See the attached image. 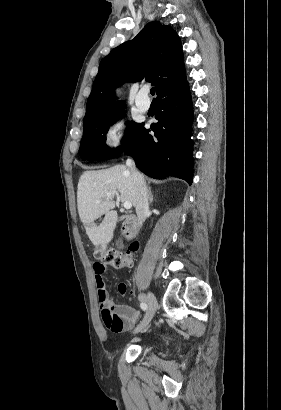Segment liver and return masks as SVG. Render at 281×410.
I'll use <instances>...</instances> for the list:
<instances>
[{
  "label": "liver",
  "mask_w": 281,
  "mask_h": 410,
  "mask_svg": "<svg viewBox=\"0 0 281 410\" xmlns=\"http://www.w3.org/2000/svg\"><path fill=\"white\" fill-rule=\"evenodd\" d=\"M122 202L129 201L136 206V187L127 166L116 165L102 170L85 171L78 182L77 206L86 234L94 246L110 243L114 236L118 214L116 202L106 200L118 196ZM100 201V203H97ZM105 214L103 221H95Z\"/></svg>",
  "instance_id": "6515ba94"
}]
</instances>
